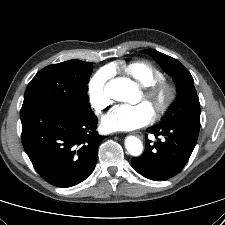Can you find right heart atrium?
Masks as SVG:
<instances>
[{"label": "right heart atrium", "mask_w": 225, "mask_h": 225, "mask_svg": "<svg viewBox=\"0 0 225 225\" xmlns=\"http://www.w3.org/2000/svg\"><path fill=\"white\" fill-rule=\"evenodd\" d=\"M112 75L110 68H103L97 71L88 84V97L91 107L96 112H101L111 104L107 84Z\"/></svg>", "instance_id": "obj_1"}]
</instances>
